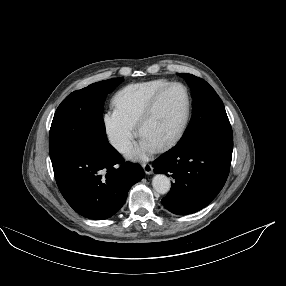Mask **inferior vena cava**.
<instances>
[{
  "mask_svg": "<svg viewBox=\"0 0 286 286\" xmlns=\"http://www.w3.org/2000/svg\"><path fill=\"white\" fill-rule=\"evenodd\" d=\"M128 142H129V140H128V138H126V137H122V138L119 139V145H120V146H124V145H126Z\"/></svg>",
  "mask_w": 286,
  "mask_h": 286,
  "instance_id": "602c4592",
  "label": "inferior vena cava"
}]
</instances>
